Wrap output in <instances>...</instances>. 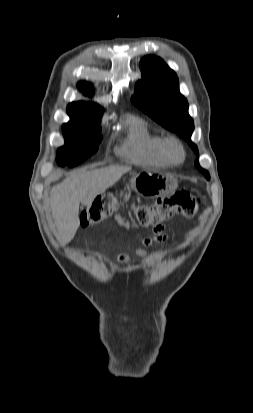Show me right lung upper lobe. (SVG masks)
Listing matches in <instances>:
<instances>
[{
	"label": "right lung upper lobe",
	"instance_id": "1",
	"mask_svg": "<svg viewBox=\"0 0 253 413\" xmlns=\"http://www.w3.org/2000/svg\"><path fill=\"white\" fill-rule=\"evenodd\" d=\"M78 87L85 95H92L91 85L88 83L80 82ZM67 112L73 121L99 120L103 109L97 104L80 101L69 104Z\"/></svg>",
	"mask_w": 253,
	"mask_h": 413
}]
</instances>
